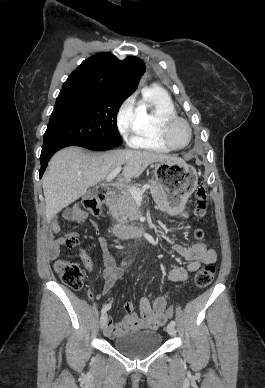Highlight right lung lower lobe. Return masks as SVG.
<instances>
[{
    "label": "right lung lower lobe",
    "mask_w": 265,
    "mask_h": 388,
    "mask_svg": "<svg viewBox=\"0 0 265 388\" xmlns=\"http://www.w3.org/2000/svg\"><path fill=\"white\" fill-rule=\"evenodd\" d=\"M67 146H81L84 147L83 145L77 143V142H72V141H58L51 143L47 146H43L41 156H40V161H41V168L39 170V176L42 177L48 161L52 157V155L58 151L61 148L67 147ZM85 148V147H84Z\"/></svg>",
    "instance_id": "98d812e1"
}]
</instances>
